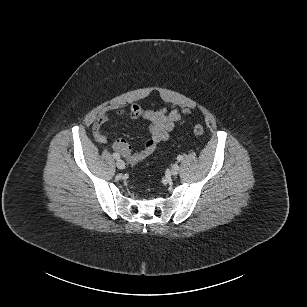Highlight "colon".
<instances>
[{
  "label": "colon",
  "instance_id": "5ec220e1",
  "mask_svg": "<svg viewBox=\"0 0 307 307\" xmlns=\"http://www.w3.org/2000/svg\"><path fill=\"white\" fill-rule=\"evenodd\" d=\"M193 133L196 135V136H201L204 134V128L202 125L200 124H197L193 127ZM123 148V142L122 140L118 139L115 141L114 143V149L117 150V149H122Z\"/></svg>",
  "mask_w": 307,
  "mask_h": 307
}]
</instances>
